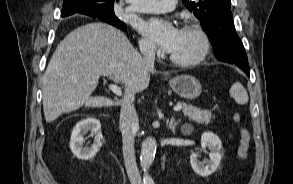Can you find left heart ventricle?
<instances>
[{
    "mask_svg": "<svg viewBox=\"0 0 293 184\" xmlns=\"http://www.w3.org/2000/svg\"><path fill=\"white\" fill-rule=\"evenodd\" d=\"M200 49L199 36L194 31L182 30L180 40L171 55L179 59H191L199 53Z\"/></svg>",
    "mask_w": 293,
    "mask_h": 184,
    "instance_id": "obj_1",
    "label": "left heart ventricle"
}]
</instances>
